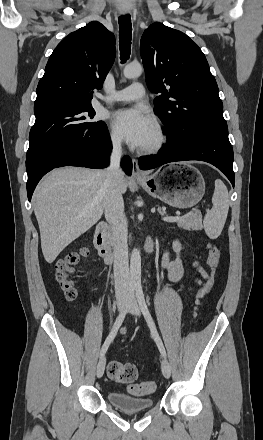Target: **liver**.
I'll use <instances>...</instances> for the list:
<instances>
[{"label": "liver", "mask_w": 263, "mask_h": 440, "mask_svg": "<svg viewBox=\"0 0 263 440\" xmlns=\"http://www.w3.org/2000/svg\"><path fill=\"white\" fill-rule=\"evenodd\" d=\"M118 184L125 193L128 181L124 174ZM105 186V171L78 167L56 169L37 186L33 195L34 213L48 263L100 220Z\"/></svg>", "instance_id": "obj_1"}]
</instances>
